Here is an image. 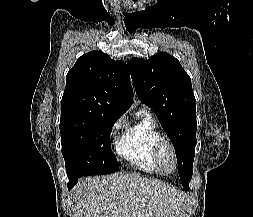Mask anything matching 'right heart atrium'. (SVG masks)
<instances>
[{"label":"right heart atrium","instance_id":"d8ad5b80","mask_svg":"<svg viewBox=\"0 0 253 217\" xmlns=\"http://www.w3.org/2000/svg\"><path fill=\"white\" fill-rule=\"evenodd\" d=\"M120 126H121V120H118V121H116V122L112 125L111 131H112L113 133L117 132V131L119 130Z\"/></svg>","mask_w":253,"mask_h":217}]
</instances>
